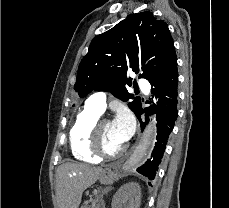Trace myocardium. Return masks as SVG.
Here are the masks:
<instances>
[{
	"label": "myocardium",
	"instance_id": "f54148a6",
	"mask_svg": "<svg viewBox=\"0 0 229 208\" xmlns=\"http://www.w3.org/2000/svg\"><path fill=\"white\" fill-rule=\"evenodd\" d=\"M104 123H111L108 120H96L91 129H90V136L92 138L93 143L90 144V153H95V158H104V157H110V158H116L121 155H123L127 150V145H123L121 148L116 149L115 152H103L104 144H102V139L104 137L102 136L100 132V127Z\"/></svg>",
	"mask_w": 229,
	"mask_h": 208
}]
</instances>
